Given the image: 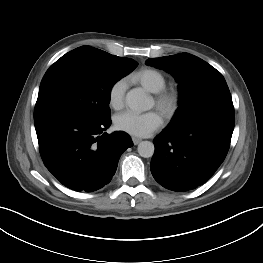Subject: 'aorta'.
I'll return each mask as SVG.
<instances>
[{"instance_id":"obj_1","label":"aorta","mask_w":263,"mask_h":263,"mask_svg":"<svg viewBox=\"0 0 263 263\" xmlns=\"http://www.w3.org/2000/svg\"><path fill=\"white\" fill-rule=\"evenodd\" d=\"M127 106L136 112H143L150 108V100L140 89H132L126 94ZM138 153L141 157L150 158L153 156L155 147L150 141H142L138 145Z\"/></svg>"}]
</instances>
